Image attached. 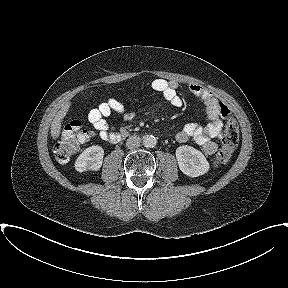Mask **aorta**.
Wrapping results in <instances>:
<instances>
[{
    "label": "aorta",
    "instance_id": "1",
    "mask_svg": "<svg viewBox=\"0 0 288 288\" xmlns=\"http://www.w3.org/2000/svg\"><path fill=\"white\" fill-rule=\"evenodd\" d=\"M142 142L145 147L152 148L156 146L157 139L152 135H145L142 138Z\"/></svg>",
    "mask_w": 288,
    "mask_h": 288
}]
</instances>
